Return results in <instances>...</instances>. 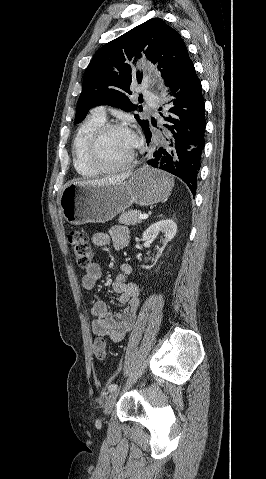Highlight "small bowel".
Listing matches in <instances>:
<instances>
[{"instance_id": "small-bowel-1", "label": "small bowel", "mask_w": 266, "mask_h": 479, "mask_svg": "<svg viewBox=\"0 0 266 479\" xmlns=\"http://www.w3.org/2000/svg\"><path fill=\"white\" fill-rule=\"evenodd\" d=\"M128 229L124 226H115L109 233L96 232L92 242L96 247L112 244L117 250L127 246ZM132 272L130 264L123 263L119 266L118 274L112 282V289L117 295V302L123 307L119 312H111L102 300L91 303L90 312L94 319L91 323L92 331L97 336H108L113 342H120L135 323L136 312L140 304L139 286L128 277ZM102 270L98 263H93L82 277V286L86 290L95 288L96 282L101 278Z\"/></svg>"}]
</instances>
